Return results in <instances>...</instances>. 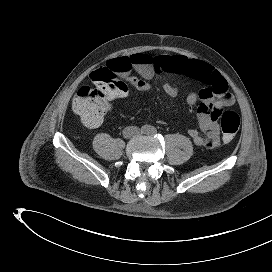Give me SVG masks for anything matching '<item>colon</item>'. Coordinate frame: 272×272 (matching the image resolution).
<instances>
[{
	"mask_svg": "<svg viewBox=\"0 0 272 272\" xmlns=\"http://www.w3.org/2000/svg\"><path fill=\"white\" fill-rule=\"evenodd\" d=\"M90 79L92 85L82 86L76 92L72 108L85 125L96 128L102 123L110 102L125 97L128 88L119 72L109 66L93 71ZM219 114L223 138L231 141L239 130L240 117L233 111H220Z\"/></svg>",
	"mask_w": 272,
	"mask_h": 272,
	"instance_id": "obj_1",
	"label": "colon"
}]
</instances>
